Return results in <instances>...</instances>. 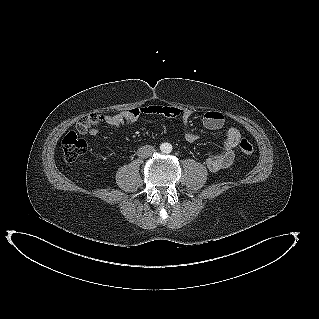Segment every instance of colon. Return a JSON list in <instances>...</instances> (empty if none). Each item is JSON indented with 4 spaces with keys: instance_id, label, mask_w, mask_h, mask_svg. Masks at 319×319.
Segmentation results:
<instances>
[{
    "instance_id": "obj_1",
    "label": "colon",
    "mask_w": 319,
    "mask_h": 319,
    "mask_svg": "<svg viewBox=\"0 0 319 319\" xmlns=\"http://www.w3.org/2000/svg\"><path fill=\"white\" fill-rule=\"evenodd\" d=\"M92 120V116L87 115L81 118L79 122L88 123ZM240 149L243 153L250 155L254 151L253 144L243 139L240 141ZM87 149V143L84 139L80 138L75 132H68L62 140V150L64 159L68 162L76 161L80 156H82Z\"/></svg>"
}]
</instances>
